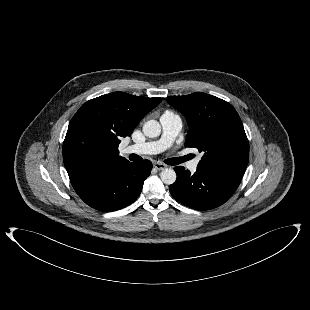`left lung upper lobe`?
Masks as SVG:
<instances>
[{
	"instance_id": "5c2ea615",
	"label": "left lung upper lobe",
	"mask_w": 310,
	"mask_h": 310,
	"mask_svg": "<svg viewBox=\"0 0 310 310\" xmlns=\"http://www.w3.org/2000/svg\"><path fill=\"white\" fill-rule=\"evenodd\" d=\"M167 102L185 116L189 131L185 146L203 152L197 168L242 178L249 160V143L234 107L215 96L196 92L172 96Z\"/></svg>"
}]
</instances>
